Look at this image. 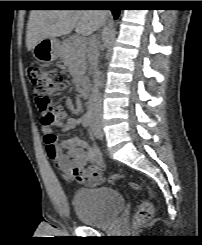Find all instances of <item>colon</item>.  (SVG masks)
Here are the masks:
<instances>
[{
	"instance_id": "obj_1",
	"label": "colon",
	"mask_w": 202,
	"mask_h": 245,
	"mask_svg": "<svg viewBox=\"0 0 202 245\" xmlns=\"http://www.w3.org/2000/svg\"><path fill=\"white\" fill-rule=\"evenodd\" d=\"M27 77L32 86V93L41 117V122L44 124L59 123L60 121L55 116L52 108L50 94L55 90L65 88L62 73L59 70H48L42 65L32 64L28 67ZM50 152L51 156H55L57 154L56 147H53ZM119 178V176H111L109 180L115 181ZM128 185L132 189L139 191L137 184L129 182ZM153 214V204L147 199L142 200L135 212V225L138 226L149 221L153 217Z\"/></svg>"
}]
</instances>
